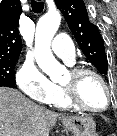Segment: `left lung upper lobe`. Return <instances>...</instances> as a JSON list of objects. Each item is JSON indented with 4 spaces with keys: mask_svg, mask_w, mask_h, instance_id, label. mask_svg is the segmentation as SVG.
Segmentation results:
<instances>
[{
    "mask_svg": "<svg viewBox=\"0 0 117 136\" xmlns=\"http://www.w3.org/2000/svg\"><path fill=\"white\" fill-rule=\"evenodd\" d=\"M80 49L101 74H107L104 41L96 25L89 21L83 0H55Z\"/></svg>",
    "mask_w": 117,
    "mask_h": 136,
    "instance_id": "1",
    "label": "left lung upper lobe"
}]
</instances>
